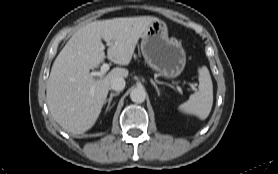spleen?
Returning a JSON list of instances; mask_svg holds the SVG:
<instances>
[{"instance_id": "3e777b00", "label": "spleen", "mask_w": 278, "mask_h": 174, "mask_svg": "<svg viewBox=\"0 0 278 174\" xmlns=\"http://www.w3.org/2000/svg\"><path fill=\"white\" fill-rule=\"evenodd\" d=\"M198 72V91L191 94L189 100L179 106V110L187 114L196 115L201 120H204L208 117L213 105V84L206 66L201 67Z\"/></svg>"}]
</instances>
